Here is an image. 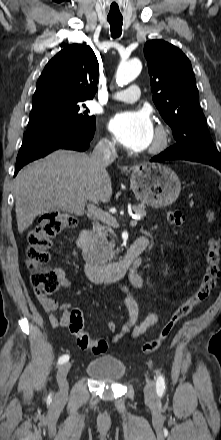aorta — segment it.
<instances>
[{
  "label": "aorta",
  "instance_id": "obj_1",
  "mask_svg": "<svg viewBox=\"0 0 221 440\" xmlns=\"http://www.w3.org/2000/svg\"><path fill=\"white\" fill-rule=\"evenodd\" d=\"M142 64L138 59L121 63L116 73V83L119 86L132 82L141 72Z\"/></svg>",
  "mask_w": 221,
  "mask_h": 440
}]
</instances>
